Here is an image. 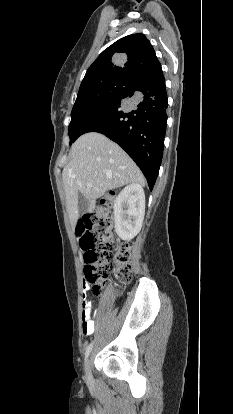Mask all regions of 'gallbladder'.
I'll return each instance as SVG.
<instances>
[{"label":"gallbladder","instance_id":"obj_1","mask_svg":"<svg viewBox=\"0 0 233 414\" xmlns=\"http://www.w3.org/2000/svg\"><path fill=\"white\" fill-rule=\"evenodd\" d=\"M89 210V202L88 200L82 195L79 194L78 198V212L79 216L86 214Z\"/></svg>","mask_w":233,"mask_h":414}]
</instances>
